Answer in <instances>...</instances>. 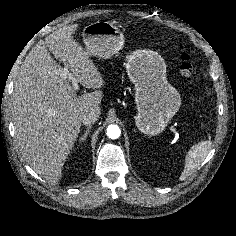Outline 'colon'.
<instances>
[{
  "label": "colon",
  "mask_w": 236,
  "mask_h": 236,
  "mask_svg": "<svg viewBox=\"0 0 236 236\" xmlns=\"http://www.w3.org/2000/svg\"><path fill=\"white\" fill-rule=\"evenodd\" d=\"M180 72L182 76L188 81L193 82L195 79L194 65L190 59V56L186 53H182L180 56Z\"/></svg>",
  "instance_id": "obj_1"
}]
</instances>
